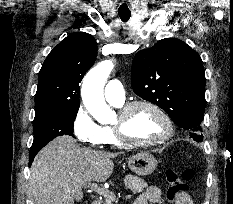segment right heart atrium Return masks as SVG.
I'll list each match as a JSON object with an SVG mask.
<instances>
[{"mask_svg": "<svg viewBox=\"0 0 233 204\" xmlns=\"http://www.w3.org/2000/svg\"><path fill=\"white\" fill-rule=\"evenodd\" d=\"M72 131L77 140L87 146L96 147L103 144L101 126L94 121L83 105H80L74 114Z\"/></svg>", "mask_w": 233, "mask_h": 204, "instance_id": "obj_1", "label": "right heart atrium"}]
</instances>
